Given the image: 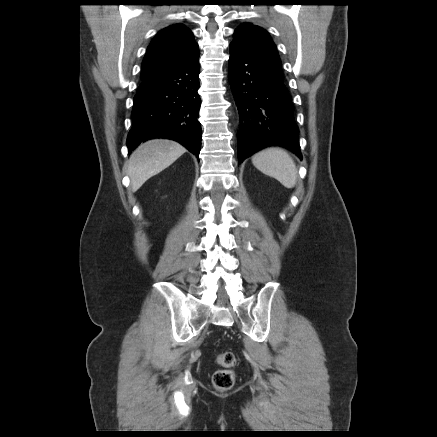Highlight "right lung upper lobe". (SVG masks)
<instances>
[{
    "mask_svg": "<svg viewBox=\"0 0 437 437\" xmlns=\"http://www.w3.org/2000/svg\"><path fill=\"white\" fill-rule=\"evenodd\" d=\"M199 55L193 33L182 24L162 29L152 40L142 62V81L185 64Z\"/></svg>",
    "mask_w": 437,
    "mask_h": 437,
    "instance_id": "obj_1",
    "label": "right lung upper lobe"
}]
</instances>
